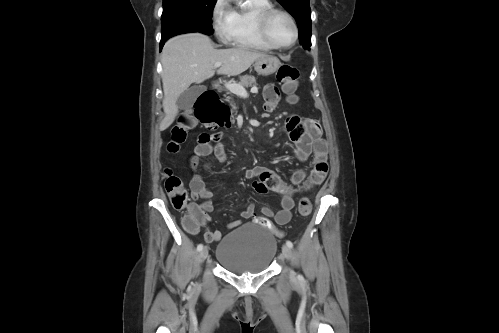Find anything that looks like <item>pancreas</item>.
Here are the masks:
<instances>
[{
  "mask_svg": "<svg viewBox=\"0 0 499 333\" xmlns=\"http://www.w3.org/2000/svg\"><path fill=\"white\" fill-rule=\"evenodd\" d=\"M242 86L250 87V86H255L256 85V79L252 75H244L240 77L239 83ZM227 94H231V92H227ZM227 100L229 101L230 105L235 108V103L233 102L231 97H228Z\"/></svg>",
  "mask_w": 499,
  "mask_h": 333,
  "instance_id": "cf45deb5",
  "label": "pancreas"
}]
</instances>
